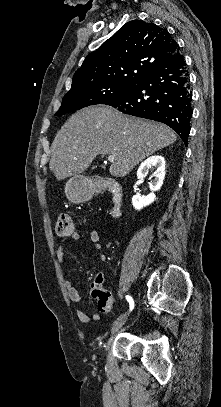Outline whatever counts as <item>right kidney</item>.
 <instances>
[{
    "mask_svg": "<svg viewBox=\"0 0 221 407\" xmlns=\"http://www.w3.org/2000/svg\"><path fill=\"white\" fill-rule=\"evenodd\" d=\"M154 169V180L149 182V187L152 193L147 196H141L140 194H137L132 197V204L136 210H140L143 207H146L153 203L156 198L154 192L160 190L163 184V180L165 177V160L162 156L153 155L142 162L137 170V178L139 180H143L145 174L149 170Z\"/></svg>",
    "mask_w": 221,
    "mask_h": 407,
    "instance_id": "1",
    "label": "right kidney"
}]
</instances>
